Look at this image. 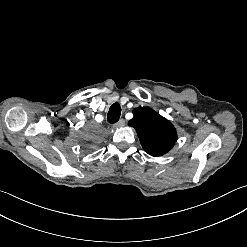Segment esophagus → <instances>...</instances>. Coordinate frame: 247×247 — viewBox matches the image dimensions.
Masks as SVG:
<instances>
[{"label":"esophagus","mask_w":247,"mask_h":247,"mask_svg":"<svg viewBox=\"0 0 247 247\" xmlns=\"http://www.w3.org/2000/svg\"><path fill=\"white\" fill-rule=\"evenodd\" d=\"M125 125V120L124 119H120L117 123H115V127H122Z\"/></svg>","instance_id":"obj_1"}]
</instances>
